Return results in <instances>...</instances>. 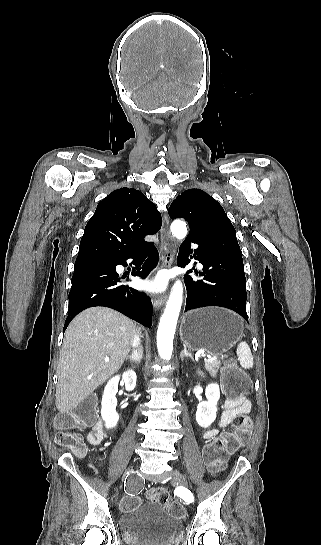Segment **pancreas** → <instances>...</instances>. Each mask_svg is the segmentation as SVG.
<instances>
[{
  "label": "pancreas",
  "instance_id": "cf45deb5",
  "mask_svg": "<svg viewBox=\"0 0 321 545\" xmlns=\"http://www.w3.org/2000/svg\"><path fill=\"white\" fill-rule=\"evenodd\" d=\"M221 361H214V359H208V361H205V369L210 373L211 377H216L219 369H220Z\"/></svg>",
  "mask_w": 321,
  "mask_h": 545
}]
</instances>
